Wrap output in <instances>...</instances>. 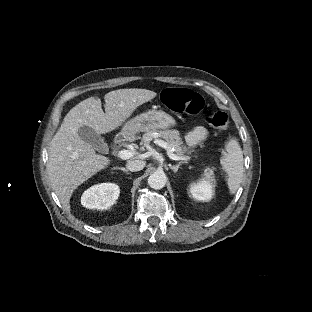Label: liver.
Segmentation results:
<instances>
[{
    "label": "liver",
    "instance_id": "1",
    "mask_svg": "<svg viewBox=\"0 0 312 312\" xmlns=\"http://www.w3.org/2000/svg\"><path fill=\"white\" fill-rule=\"evenodd\" d=\"M157 93L147 89H117L105 94V112L101 100L90 97L73 107L53 137L49 147L47 172L50 184L61 204L71 213V197L75 191L107 170L111 160L97 155L95 149L80 137L78 131L88 126L101 135L124 126L133 113Z\"/></svg>",
    "mask_w": 312,
    "mask_h": 312
}]
</instances>
